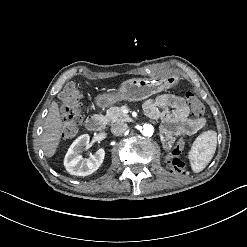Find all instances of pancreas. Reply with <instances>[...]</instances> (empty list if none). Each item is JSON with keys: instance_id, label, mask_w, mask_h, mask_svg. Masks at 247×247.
<instances>
[{"instance_id": "cf45deb5", "label": "pancreas", "mask_w": 247, "mask_h": 247, "mask_svg": "<svg viewBox=\"0 0 247 247\" xmlns=\"http://www.w3.org/2000/svg\"><path fill=\"white\" fill-rule=\"evenodd\" d=\"M105 117L111 123L126 121L129 119V116L124 114L119 107H110L107 110Z\"/></svg>"}]
</instances>
